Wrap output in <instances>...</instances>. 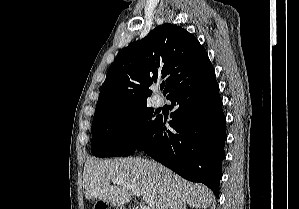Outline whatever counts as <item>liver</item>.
<instances>
[{
  "label": "liver",
  "instance_id": "liver-1",
  "mask_svg": "<svg viewBox=\"0 0 299 209\" xmlns=\"http://www.w3.org/2000/svg\"><path fill=\"white\" fill-rule=\"evenodd\" d=\"M112 180L122 184L112 186ZM127 185L140 192L150 209H157L161 198L166 201L168 209H178L186 204L206 209L214 200L213 193L206 186L184 180L153 161L139 157L86 161L83 190L87 199L98 198L113 206H123L131 200Z\"/></svg>",
  "mask_w": 299,
  "mask_h": 209
}]
</instances>
